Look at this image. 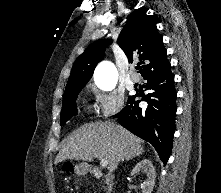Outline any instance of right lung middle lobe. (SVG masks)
<instances>
[{"label":"right lung middle lobe","mask_w":221,"mask_h":193,"mask_svg":"<svg viewBox=\"0 0 221 193\" xmlns=\"http://www.w3.org/2000/svg\"><path fill=\"white\" fill-rule=\"evenodd\" d=\"M83 87L84 86H73L66 88L61 110V125H64L72 116L77 114L76 98Z\"/></svg>","instance_id":"right-lung-middle-lobe-1"}]
</instances>
